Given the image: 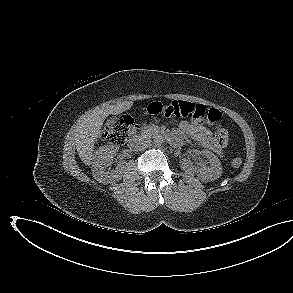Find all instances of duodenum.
<instances>
[{
    "label": "duodenum",
    "mask_w": 293,
    "mask_h": 293,
    "mask_svg": "<svg viewBox=\"0 0 293 293\" xmlns=\"http://www.w3.org/2000/svg\"><path fill=\"white\" fill-rule=\"evenodd\" d=\"M163 135L173 144V145H178L179 144V138L174 135V134H169V133H164ZM144 140V136L143 135H137L134 136L130 141H129V147L130 148H136L139 145H141V143Z\"/></svg>",
    "instance_id": "obj_1"
}]
</instances>
